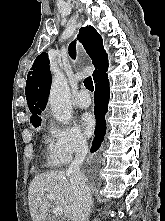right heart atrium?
Returning a JSON list of instances; mask_svg holds the SVG:
<instances>
[{"label":"right heart atrium","mask_w":165,"mask_h":221,"mask_svg":"<svg viewBox=\"0 0 165 221\" xmlns=\"http://www.w3.org/2000/svg\"><path fill=\"white\" fill-rule=\"evenodd\" d=\"M87 147V139L77 127L51 124L48 136V150L51 159L67 163L75 155L84 152Z\"/></svg>","instance_id":"obj_1"}]
</instances>
